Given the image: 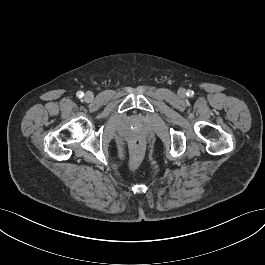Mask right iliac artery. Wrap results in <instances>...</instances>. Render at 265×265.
I'll return each mask as SVG.
<instances>
[{
  "label": "right iliac artery",
  "mask_w": 265,
  "mask_h": 265,
  "mask_svg": "<svg viewBox=\"0 0 265 265\" xmlns=\"http://www.w3.org/2000/svg\"><path fill=\"white\" fill-rule=\"evenodd\" d=\"M77 97L82 98L84 96V93L82 91L77 92Z\"/></svg>",
  "instance_id": "obj_1"
}]
</instances>
